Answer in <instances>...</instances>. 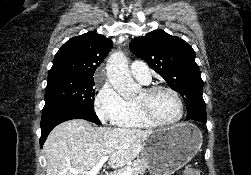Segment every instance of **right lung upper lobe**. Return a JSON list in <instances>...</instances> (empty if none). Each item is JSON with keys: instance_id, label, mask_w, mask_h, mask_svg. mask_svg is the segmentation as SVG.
<instances>
[{"instance_id": "right-lung-upper-lobe-1", "label": "right lung upper lobe", "mask_w": 251, "mask_h": 175, "mask_svg": "<svg viewBox=\"0 0 251 175\" xmlns=\"http://www.w3.org/2000/svg\"><path fill=\"white\" fill-rule=\"evenodd\" d=\"M112 44L111 39L93 31L69 39L56 53L48 78L94 82L95 70Z\"/></svg>"}]
</instances>
